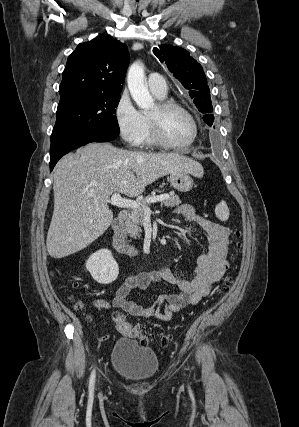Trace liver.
Instances as JSON below:
<instances>
[{
	"mask_svg": "<svg viewBox=\"0 0 299 427\" xmlns=\"http://www.w3.org/2000/svg\"><path fill=\"white\" fill-rule=\"evenodd\" d=\"M203 176L197 161L177 153H147L90 143L64 156L54 170V211L47 234L53 258L74 254L95 241L111 225L107 205L117 192L129 197L172 172Z\"/></svg>",
	"mask_w": 299,
	"mask_h": 427,
	"instance_id": "1",
	"label": "liver"
}]
</instances>
